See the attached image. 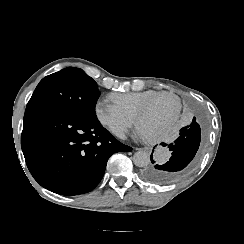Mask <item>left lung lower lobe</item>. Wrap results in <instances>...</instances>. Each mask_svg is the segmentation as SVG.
<instances>
[{
	"mask_svg": "<svg viewBox=\"0 0 244 244\" xmlns=\"http://www.w3.org/2000/svg\"><path fill=\"white\" fill-rule=\"evenodd\" d=\"M201 140V129L196 118L189 126L180 130V136L174 143L169 144L172 156L163 165L152 164L141 171L144 181L156 185H170L183 179L194 165ZM166 146L165 143L161 144Z\"/></svg>",
	"mask_w": 244,
	"mask_h": 244,
	"instance_id": "0a47b994",
	"label": "left lung lower lobe"
}]
</instances>
